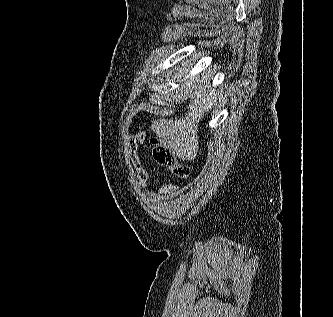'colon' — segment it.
I'll return each mask as SVG.
<instances>
[{"mask_svg": "<svg viewBox=\"0 0 333 317\" xmlns=\"http://www.w3.org/2000/svg\"><path fill=\"white\" fill-rule=\"evenodd\" d=\"M152 155L160 166L169 169L179 178H187L190 175L189 168L181 163L163 144L155 138L150 139Z\"/></svg>", "mask_w": 333, "mask_h": 317, "instance_id": "5ec220e1", "label": "colon"}]
</instances>
